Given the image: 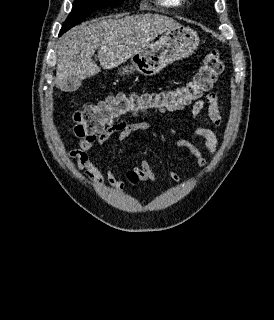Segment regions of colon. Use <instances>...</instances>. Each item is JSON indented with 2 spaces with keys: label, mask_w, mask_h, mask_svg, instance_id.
I'll return each instance as SVG.
<instances>
[{
  "label": "colon",
  "mask_w": 274,
  "mask_h": 320,
  "mask_svg": "<svg viewBox=\"0 0 274 320\" xmlns=\"http://www.w3.org/2000/svg\"><path fill=\"white\" fill-rule=\"evenodd\" d=\"M224 69V60L217 49H210L196 73L185 84L163 92L145 94L120 93L105 101L87 104L72 114L74 134L93 137L103 133V127H118L130 115L149 110L182 109L203 97ZM71 107L77 102L71 100ZM127 177L136 182L138 175L129 171Z\"/></svg>",
  "instance_id": "1"
}]
</instances>
